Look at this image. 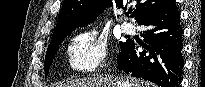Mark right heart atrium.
<instances>
[{"mask_svg": "<svg viewBox=\"0 0 205 87\" xmlns=\"http://www.w3.org/2000/svg\"><path fill=\"white\" fill-rule=\"evenodd\" d=\"M106 55V41L92 32L76 35L67 47L69 67L78 72L99 70L105 64Z\"/></svg>", "mask_w": 205, "mask_h": 87, "instance_id": "right-heart-atrium-1", "label": "right heart atrium"}]
</instances>
